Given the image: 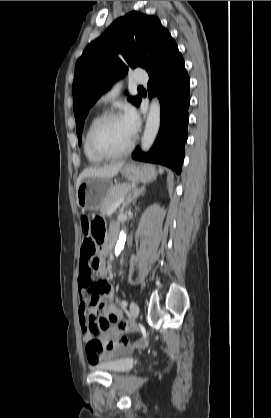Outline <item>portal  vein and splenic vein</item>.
<instances>
[{
  "label": "portal vein and splenic vein",
  "mask_w": 271,
  "mask_h": 418,
  "mask_svg": "<svg viewBox=\"0 0 271 418\" xmlns=\"http://www.w3.org/2000/svg\"><path fill=\"white\" fill-rule=\"evenodd\" d=\"M125 196H122L118 201H116L109 209L107 216L113 214V212L118 208V206L124 201Z\"/></svg>",
  "instance_id": "obj_1"
}]
</instances>
